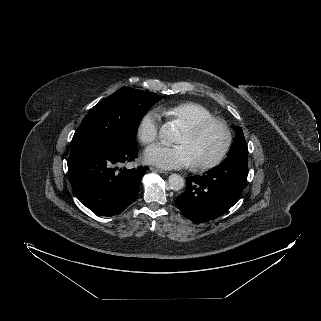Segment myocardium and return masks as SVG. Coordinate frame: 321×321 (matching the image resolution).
Masks as SVG:
<instances>
[{
	"mask_svg": "<svg viewBox=\"0 0 321 321\" xmlns=\"http://www.w3.org/2000/svg\"><path fill=\"white\" fill-rule=\"evenodd\" d=\"M219 125L224 132V141L219 152L212 159L192 164L194 170H206L219 165L228 154L232 144V131L229 124L222 118L210 117L186 126L185 130L191 135H198L210 125Z\"/></svg>",
	"mask_w": 321,
	"mask_h": 321,
	"instance_id": "obj_1",
	"label": "myocardium"
}]
</instances>
